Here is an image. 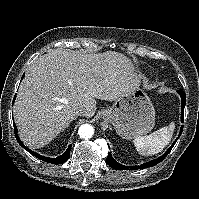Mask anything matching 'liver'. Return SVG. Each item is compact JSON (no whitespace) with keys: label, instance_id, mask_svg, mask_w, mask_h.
I'll list each match as a JSON object with an SVG mask.
<instances>
[{"label":"liver","instance_id":"6515ba94","mask_svg":"<svg viewBox=\"0 0 199 199\" xmlns=\"http://www.w3.org/2000/svg\"><path fill=\"white\" fill-rule=\"evenodd\" d=\"M137 76L123 54H82L53 50L35 60L26 72L14 106L21 140L31 148L52 141L73 120L77 107L91 118L96 99L115 101L137 88Z\"/></svg>","mask_w":199,"mask_h":199}]
</instances>
